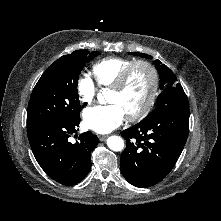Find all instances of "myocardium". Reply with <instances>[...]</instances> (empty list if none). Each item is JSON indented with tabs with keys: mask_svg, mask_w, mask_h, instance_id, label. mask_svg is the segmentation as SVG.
<instances>
[{
	"mask_svg": "<svg viewBox=\"0 0 221 221\" xmlns=\"http://www.w3.org/2000/svg\"><path fill=\"white\" fill-rule=\"evenodd\" d=\"M137 67H144L149 71L151 75V90L143 107L139 111L127 116L129 121H137L144 118L152 109L159 92V85H160L159 73L156 67L152 63L145 60H136L132 62L130 65H128L120 73L116 82L112 85L111 90L117 92L122 91L127 85L131 73Z\"/></svg>",
	"mask_w": 221,
	"mask_h": 221,
	"instance_id": "obj_1",
	"label": "myocardium"
}]
</instances>
